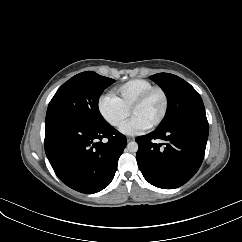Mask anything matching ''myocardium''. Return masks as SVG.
<instances>
[{
  "instance_id": "obj_1",
  "label": "myocardium",
  "mask_w": 242,
  "mask_h": 242,
  "mask_svg": "<svg viewBox=\"0 0 242 242\" xmlns=\"http://www.w3.org/2000/svg\"><path fill=\"white\" fill-rule=\"evenodd\" d=\"M154 93H159L162 96L163 108H162V112H161L159 118L157 119V121L154 122L151 126H149L148 129H155L163 123V121L167 115L168 108H169V97H168L167 92L161 87L154 86V87L148 89L147 91H145L143 94H141L133 102V104L130 108V114L133 115L134 110L137 109L138 107H140L141 105H143Z\"/></svg>"
}]
</instances>
